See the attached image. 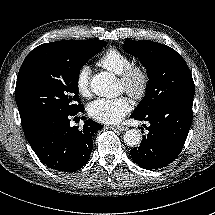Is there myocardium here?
Listing matches in <instances>:
<instances>
[{
	"label": "myocardium",
	"instance_id": "f54148a6",
	"mask_svg": "<svg viewBox=\"0 0 215 215\" xmlns=\"http://www.w3.org/2000/svg\"><path fill=\"white\" fill-rule=\"evenodd\" d=\"M123 90L135 101L143 100L150 89L151 76L148 68L142 63H131L119 75Z\"/></svg>",
	"mask_w": 215,
	"mask_h": 215
}]
</instances>
